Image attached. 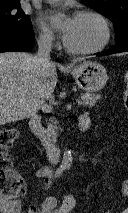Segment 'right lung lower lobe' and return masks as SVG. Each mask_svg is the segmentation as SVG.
Here are the masks:
<instances>
[{
	"mask_svg": "<svg viewBox=\"0 0 128 213\" xmlns=\"http://www.w3.org/2000/svg\"><path fill=\"white\" fill-rule=\"evenodd\" d=\"M35 41L33 30L29 32H0V52L29 51Z\"/></svg>",
	"mask_w": 128,
	"mask_h": 213,
	"instance_id": "obj_1",
	"label": "right lung lower lobe"
}]
</instances>
